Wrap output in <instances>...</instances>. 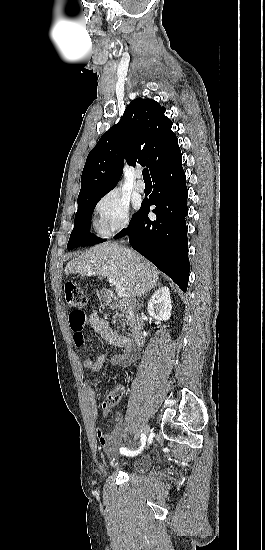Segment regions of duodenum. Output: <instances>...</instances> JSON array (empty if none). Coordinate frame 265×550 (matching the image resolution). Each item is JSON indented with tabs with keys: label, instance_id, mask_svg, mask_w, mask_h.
Instances as JSON below:
<instances>
[{
	"label": "duodenum",
	"instance_id": "1",
	"mask_svg": "<svg viewBox=\"0 0 265 550\" xmlns=\"http://www.w3.org/2000/svg\"><path fill=\"white\" fill-rule=\"evenodd\" d=\"M103 300H104V303L111 309L127 307L130 311H135L137 308V305L133 300L124 302L119 298H117L110 291H105L103 293ZM144 341H145L144 324L142 320L138 318L134 319L133 326H132V339H131L132 347L138 350V348L143 345Z\"/></svg>",
	"mask_w": 265,
	"mask_h": 550
}]
</instances>
